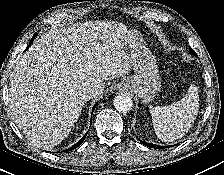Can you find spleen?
<instances>
[{"label": "spleen", "instance_id": "spleen-1", "mask_svg": "<svg viewBox=\"0 0 224 175\" xmlns=\"http://www.w3.org/2000/svg\"><path fill=\"white\" fill-rule=\"evenodd\" d=\"M199 110V95L195 85H191L181 100L169 106L150 109L153 127L157 137L164 142L183 137L194 123Z\"/></svg>", "mask_w": 224, "mask_h": 175}]
</instances>
